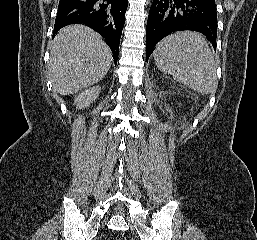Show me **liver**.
Segmentation results:
<instances>
[{"instance_id": "obj_1", "label": "liver", "mask_w": 257, "mask_h": 240, "mask_svg": "<svg viewBox=\"0 0 257 240\" xmlns=\"http://www.w3.org/2000/svg\"><path fill=\"white\" fill-rule=\"evenodd\" d=\"M112 53L101 37L83 25H71L55 36L48 64L53 89L70 95L96 84L107 74Z\"/></svg>"}]
</instances>
